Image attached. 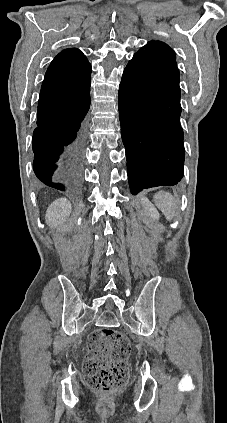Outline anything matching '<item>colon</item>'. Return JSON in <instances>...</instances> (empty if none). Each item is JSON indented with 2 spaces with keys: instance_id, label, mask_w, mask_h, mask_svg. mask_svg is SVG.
<instances>
[{
  "instance_id": "5ec220e1",
  "label": "colon",
  "mask_w": 227,
  "mask_h": 423,
  "mask_svg": "<svg viewBox=\"0 0 227 423\" xmlns=\"http://www.w3.org/2000/svg\"><path fill=\"white\" fill-rule=\"evenodd\" d=\"M129 340L111 328H101L90 334L85 360V381L99 392H114L123 388L128 379Z\"/></svg>"
}]
</instances>
